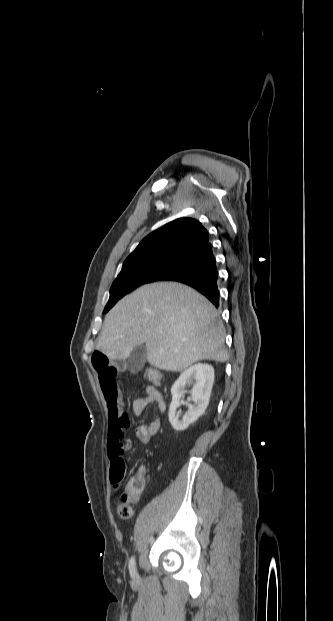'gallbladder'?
Listing matches in <instances>:
<instances>
[{
	"label": "gallbladder",
	"mask_w": 333,
	"mask_h": 621,
	"mask_svg": "<svg viewBox=\"0 0 333 621\" xmlns=\"http://www.w3.org/2000/svg\"><path fill=\"white\" fill-rule=\"evenodd\" d=\"M146 356L147 351L144 344L135 347L127 359L129 370H141L145 364Z\"/></svg>",
	"instance_id": "1"
}]
</instances>
